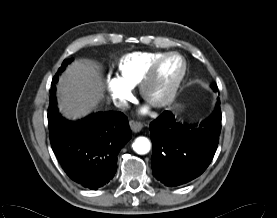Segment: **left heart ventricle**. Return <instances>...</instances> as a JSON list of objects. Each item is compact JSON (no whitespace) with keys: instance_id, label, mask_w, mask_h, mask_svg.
Listing matches in <instances>:
<instances>
[{"instance_id":"obj_1","label":"left heart ventricle","mask_w":277,"mask_h":218,"mask_svg":"<svg viewBox=\"0 0 277 218\" xmlns=\"http://www.w3.org/2000/svg\"><path fill=\"white\" fill-rule=\"evenodd\" d=\"M181 69V61L177 57L166 59L159 67L155 80L150 87V94L154 98L161 97L172 82L177 78Z\"/></svg>"}]
</instances>
